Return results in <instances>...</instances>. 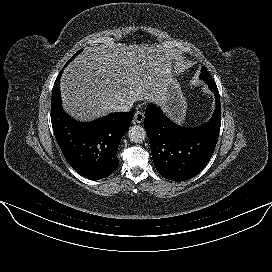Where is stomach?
Segmentation results:
<instances>
[{
    "instance_id": "1",
    "label": "stomach",
    "mask_w": 272,
    "mask_h": 272,
    "mask_svg": "<svg viewBox=\"0 0 272 272\" xmlns=\"http://www.w3.org/2000/svg\"><path fill=\"white\" fill-rule=\"evenodd\" d=\"M165 112L177 123H183L186 115L187 103L179 83L171 75L165 90Z\"/></svg>"
}]
</instances>
